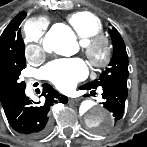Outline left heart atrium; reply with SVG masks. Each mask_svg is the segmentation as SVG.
I'll return each instance as SVG.
<instances>
[{
	"label": "left heart atrium",
	"instance_id": "obj_1",
	"mask_svg": "<svg viewBox=\"0 0 147 147\" xmlns=\"http://www.w3.org/2000/svg\"><path fill=\"white\" fill-rule=\"evenodd\" d=\"M87 72V66L81 59L57 60L44 68L45 77L63 91L84 79Z\"/></svg>",
	"mask_w": 147,
	"mask_h": 147
}]
</instances>
